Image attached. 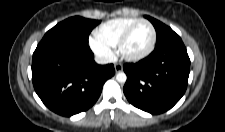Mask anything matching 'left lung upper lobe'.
<instances>
[{
    "instance_id": "obj_1",
    "label": "left lung upper lobe",
    "mask_w": 225,
    "mask_h": 132,
    "mask_svg": "<svg viewBox=\"0 0 225 132\" xmlns=\"http://www.w3.org/2000/svg\"><path fill=\"white\" fill-rule=\"evenodd\" d=\"M145 17L152 22L156 30L157 40L155 49L170 43L182 41L181 38L170 27L154 18H151L150 16Z\"/></svg>"
}]
</instances>
